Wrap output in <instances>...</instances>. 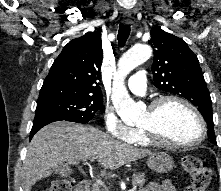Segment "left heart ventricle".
<instances>
[{"instance_id":"1","label":"left heart ventricle","mask_w":221,"mask_h":191,"mask_svg":"<svg viewBox=\"0 0 221 191\" xmlns=\"http://www.w3.org/2000/svg\"><path fill=\"white\" fill-rule=\"evenodd\" d=\"M139 126H155L164 140L174 143L194 141L200 134L195 116L175 102L165 104L156 118L147 110Z\"/></svg>"}]
</instances>
